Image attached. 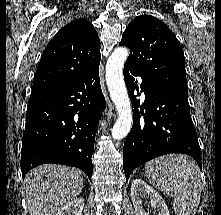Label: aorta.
Returning <instances> with one entry per match:
<instances>
[{"label": "aorta", "mask_w": 221, "mask_h": 215, "mask_svg": "<svg viewBox=\"0 0 221 215\" xmlns=\"http://www.w3.org/2000/svg\"><path fill=\"white\" fill-rule=\"evenodd\" d=\"M128 56V48H115L106 64V82L111 99L118 112V119L111 133L115 140L127 136L133 121L131 103L123 78V67Z\"/></svg>", "instance_id": "1"}]
</instances>
